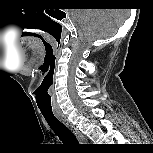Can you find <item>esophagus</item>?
<instances>
[{
	"label": "esophagus",
	"instance_id": "1",
	"mask_svg": "<svg viewBox=\"0 0 153 153\" xmlns=\"http://www.w3.org/2000/svg\"><path fill=\"white\" fill-rule=\"evenodd\" d=\"M55 115L65 126H67L72 131V133L75 135L80 144H85L87 142V139L84 137V135L78 130V128L75 125H73L66 118L64 114L56 112Z\"/></svg>",
	"mask_w": 153,
	"mask_h": 153
}]
</instances>
